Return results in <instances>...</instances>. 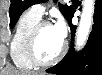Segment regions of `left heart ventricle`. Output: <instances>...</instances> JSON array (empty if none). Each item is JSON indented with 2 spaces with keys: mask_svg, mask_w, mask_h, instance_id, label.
<instances>
[{
  "mask_svg": "<svg viewBox=\"0 0 102 75\" xmlns=\"http://www.w3.org/2000/svg\"><path fill=\"white\" fill-rule=\"evenodd\" d=\"M63 45L54 26H46L41 31L37 40V52L43 60L54 58Z\"/></svg>",
  "mask_w": 102,
  "mask_h": 75,
  "instance_id": "left-heart-ventricle-1",
  "label": "left heart ventricle"
}]
</instances>
